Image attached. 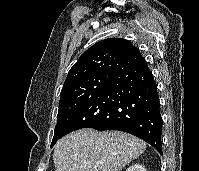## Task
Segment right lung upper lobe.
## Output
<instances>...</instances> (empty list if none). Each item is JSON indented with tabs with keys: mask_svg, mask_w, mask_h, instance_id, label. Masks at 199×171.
I'll use <instances>...</instances> for the list:
<instances>
[{
	"mask_svg": "<svg viewBox=\"0 0 199 171\" xmlns=\"http://www.w3.org/2000/svg\"><path fill=\"white\" fill-rule=\"evenodd\" d=\"M144 60L139 50L125 39L101 40L85 51L70 69L61 93L96 75L115 76Z\"/></svg>",
	"mask_w": 199,
	"mask_h": 171,
	"instance_id": "cb5924a9",
	"label": "right lung upper lobe"
}]
</instances>
